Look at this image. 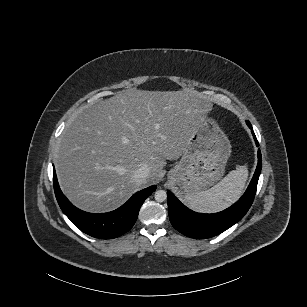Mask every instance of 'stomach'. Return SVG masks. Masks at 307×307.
Segmentation results:
<instances>
[{"label": "stomach", "mask_w": 307, "mask_h": 307, "mask_svg": "<svg viewBox=\"0 0 307 307\" xmlns=\"http://www.w3.org/2000/svg\"><path fill=\"white\" fill-rule=\"evenodd\" d=\"M231 153V142L217 119L204 113L169 179L184 193L206 190L222 179Z\"/></svg>", "instance_id": "1"}]
</instances>
